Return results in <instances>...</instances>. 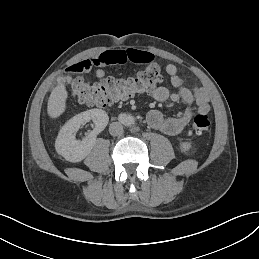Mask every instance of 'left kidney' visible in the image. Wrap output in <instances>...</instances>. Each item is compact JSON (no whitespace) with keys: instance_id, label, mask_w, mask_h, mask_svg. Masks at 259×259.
<instances>
[{"instance_id":"1","label":"left kidney","mask_w":259,"mask_h":259,"mask_svg":"<svg viewBox=\"0 0 259 259\" xmlns=\"http://www.w3.org/2000/svg\"><path fill=\"white\" fill-rule=\"evenodd\" d=\"M191 148L190 142H182L180 143V149L182 152H187Z\"/></svg>"}]
</instances>
